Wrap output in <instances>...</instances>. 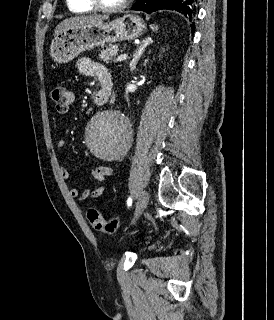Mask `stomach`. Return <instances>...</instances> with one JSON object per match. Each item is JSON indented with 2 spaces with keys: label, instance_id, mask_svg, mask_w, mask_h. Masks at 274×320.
<instances>
[{
  "label": "stomach",
  "instance_id": "0dacf381",
  "mask_svg": "<svg viewBox=\"0 0 274 320\" xmlns=\"http://www.w3.org/2000/svg\"><path fill=\"white\" fill-rule=\"evenodd\" d=\"M146 26L134 14H124L111 22H98L89 26L66 28L55 36L50 46V56L57 64H66L86 50H93L104 44H114L122 40H135L142 36Z\"/></svg>",
  "mask_w": 274,
  "mask_h": 320
}]
</instances>
